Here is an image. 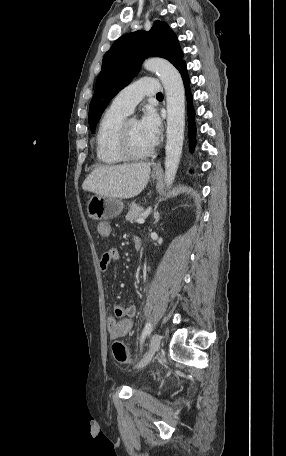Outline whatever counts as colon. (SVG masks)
Returning a JSON list of instances; mask_svg holds the SVG:
<instances>
[{"mask_svg":"<svg viewBox=\"0 0 286 456\" xmlns=\"http://www.w3.org/2000/svg\"><path fill=\"white\" fill-rule=\"evenodd\" d=\"M112 352L117 362L121 364L130 363V354L128 348L123 342L116 341L112 344Z\"/></svg>","mask_w":286,"mask_h":456,"instance_id":"1","label":"colon"}]
</instances>
